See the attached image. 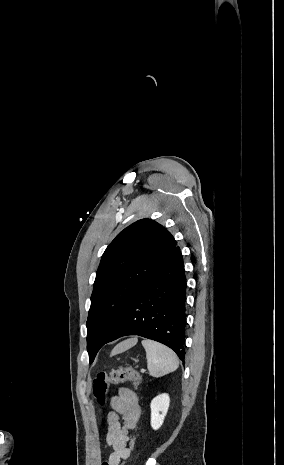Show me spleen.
Returning <instances> with one entry per match:
<instances>
[{
	"mask_svg": "<svg viewBox=\"0 0 284 465\" xmlns=\"http://www.w3.org/2000/svg\"><path fill=\"white\" fill-rule=\"evenodd\" d=\"M142 345L146 351L147 369L151 377H163L178 369L179 361L168 347L145 339Z\"/></svg>",
	"mask_w": 284,
	"mask_h": 465,
	"instance_id": "spleen-1",
	"label": "spleen"
}]
</instances>
